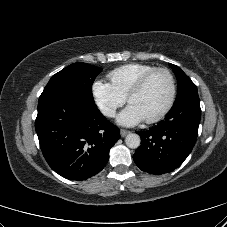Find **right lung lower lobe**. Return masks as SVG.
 I'll use <instances>...</instances> for the list:
<instances>
[{
    "label": "right lung lower lobe",
    "mask_w": 227,
    "mask_h": 227,
    "mask_svg": "<svg viewBox=\"0 0 227 227\" xmlns=\"http://www.w3.org/2000/svg\"><path fill=\"white\" fill-rule=\"evenodd\" d=\"M35 128L49 166L70 180H86L99 173L120 138L119 128L100 113L94 101L69 89L41 94Z\"/></svg>",
    "instance_id": "right-lung-lower-lobe-1"
}]
</instances>
